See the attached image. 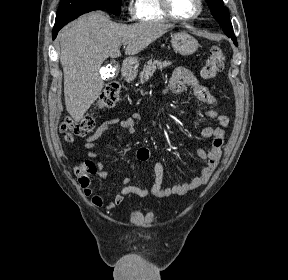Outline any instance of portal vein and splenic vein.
Instances as JSON below:
<instances>
[{"instance_id": "1", "label": "portal vein and splenic vein", "mask_w": 288, "mask_h": 280, "mask_svg": "<svg viewBox=\"0 0 288 280\" xmlns=\"http://www.w3.org/2000/svg\"><path fill=\"white\" fill-rule=\"evenodd\" d=\"M128 44V42H123V45L125 46V45H127Z\"/></svg>"}]
</instances>
